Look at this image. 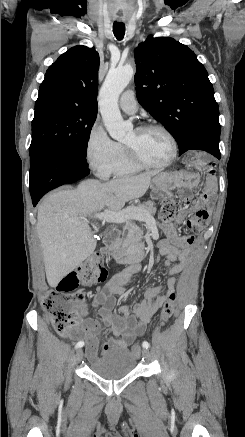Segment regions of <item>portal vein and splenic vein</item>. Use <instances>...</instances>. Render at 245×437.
<instances>
[{"instance_id": "18ae733b", "label": "portal vein and splenic vein", "mask_w": 245, "mask_h": 437, "mask_svg": "<svg viewBox=\"0 0 245 437\" xmlns=\"http://www.w3.org/2000/svg\"><path fill=\"white\" fill-rule=\"evenodd\" d=\"M136 209L130 208L118 212L104 210L103 213L95 214L94 218L112 223H122L132 218H137ZM144 220V219H143ZM78 223V221H76Z\"/></svg>"}]
</instances>
